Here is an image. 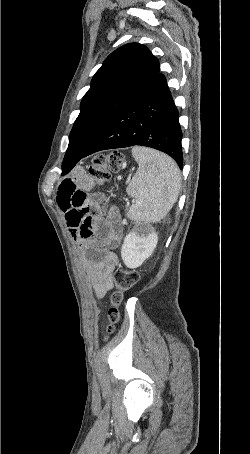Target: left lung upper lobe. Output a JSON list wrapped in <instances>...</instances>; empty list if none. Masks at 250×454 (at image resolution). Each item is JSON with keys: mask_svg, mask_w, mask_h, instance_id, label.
Returning a JSON list of instances; mask_svg holds the SVG:
<instances>
[{"mask_svg": "<svg viewBox=\"0 0 250 454\" xmlns=\"http://www.w3.org/2000/svg\"><path fill=\"white\" fill-rule=\"evenodd\" d=\"M158 74L157 58L142 44L129 43L111 53L82 99L66 154L82 155L103 124Z\"/></svg>", "mask_w": 250, "mask_h": 454, "instance_id": "left-lung-upper-lobe-1", "label": "left lung upper lobe"}]
</instances>
